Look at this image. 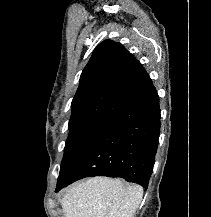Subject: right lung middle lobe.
I'll list each match as a JSON object with an SVG mask.
<instances>
[{
    "instance_id": "right-lung-middle-lobe-1",
    "label": "right lung middle lobe",
    "mask_w": 211,
    "mask_h": 217,
    "mask_svg": "<svg viewBox=\"0 0 211 217\" xmlns=\"http://www.w3.org/2000/svg\"><path fill=\"white\" fill-rule=\"evenodd\" d=\"M115 117L116 115L112 114H94L69 121L70 132L64 149L59 179L69 173L74 164Z\"/></svg>"
}]
</instances>
